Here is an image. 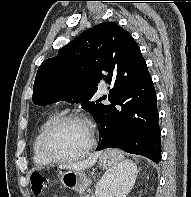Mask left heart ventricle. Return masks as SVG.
Segmentation results:
<instances>
[{
	"instance_id": "b2bd125f",
	"label": "left heart ventricle",
	"mask_w": 191,
	"mask_h": 197,
	"mask_svg": "<svg viewBox=\"0 0 191 197\" xmlns=\"http://www.w3.org/2000/svg\"><path fill=\"white\" fill-rule=\"evenodd\" d=\"M90 140L87 126L67 121L56 127L49 137L51 150L61 156H73L85 149Z\"/></svg>"
}]
</instances>
